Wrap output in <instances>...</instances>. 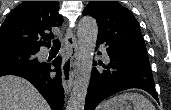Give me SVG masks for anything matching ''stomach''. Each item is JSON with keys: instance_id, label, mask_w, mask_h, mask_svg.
I'll return each instance as SVG.
<instances>
[{"instance_id": "1", "label": "stomach", "mask_w": 171, "mask_h": 110, "mask_svg": "<svg viewBox=\"0 0 171 110\" xmlns=\"http://www.w3.org/2000/svg\"><path fill=\"white\" fill-rule=\"evenodd\" d=\"M115 110H131V105L127 101H122L115 105Z\"/></svg>"}]
</instances>
